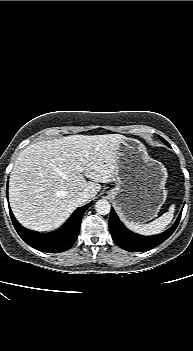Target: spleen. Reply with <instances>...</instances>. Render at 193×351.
Wrapping results in <instances>:
<instances>
[{"label":"spleen","mask_w":193,"mask_h":351,"mask_svg":"<svg viewBox=\"0 0 193 351\" xmlns=\"http://www.w3.org/2000/svg\"><path fill=\"white\" fill-rule=\"evenodd\" d=\"M175 212V205L172 204L169 211L148 224H139L132 221H125V225L132 231L142 235H154L161 233L171 223Z\"/></svg>","instance_id":"obj_1"}]
</instances>
